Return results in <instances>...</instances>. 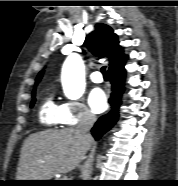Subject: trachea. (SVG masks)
I'll return each instance as SVG.
<instances>
[{
  "label": "trachea",
  "instance_id": "3493384b",
  "mask_svg": "<svg viewBox=\"0 0 178 186\" xmlns=\"http://www.w3.org/2000/svg\"><path fill=\"white\" fill-rule=\"evenodd\" d=\"M101 72H102V74H103V77H104V78H107L106 66H103V67L101 68Z\"/></svg>",
  "mask_w": 178,
  "mask_h": 186
}]
</instances>
